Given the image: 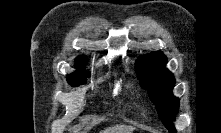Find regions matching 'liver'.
Wrapping results in <instances>:
<instances>
[{
	"label": "liver",
	"mask_w": 221,
	"mask_h": 133,
	"mask_svg": "<svg viewBox=\"0 0 221 133\" xmlns=\"http://www.w3.org/2000/svg\"><path fill=\"white\" fill-rule=\"evenodd\" d=\"M134 128L131 126L117 125L104 130L102 133H132Z\"/></svg>",
	"instance_id": "obj_1"
}]
</instances>
